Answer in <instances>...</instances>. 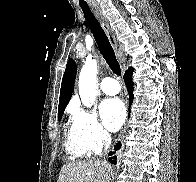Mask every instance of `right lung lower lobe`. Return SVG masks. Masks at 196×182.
<instances>
[{
    "instance_id": "98d812e1",
    "label": "right lung lower lobe",
    "mask_w": 196,
    "mask_h": 182,
    "mask_svg": "<svg viewBox=\"0 0 196 182\" xmlns=\"http://www.w3.org/2000/svg\"><path fill=\"white\" fill-rule=\"evenodd\" d=\"M132 72H133V68L130 67L124 75V80H125V83H126V86H127V90L129 92V105L132 104L133 99H134V96L132 94L133 90H134V87H133L134 83L132 81ZM120 147H121V143L119 142V143L116 144L115 150H118ZM113 154H115V151L109 153V155H111V157L109 158V161L112 164H116L117 163V157L113 156Z\"/></svg>"
}]
</instances>
